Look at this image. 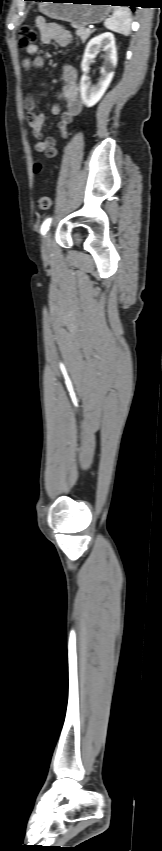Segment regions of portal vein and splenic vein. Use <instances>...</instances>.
<instances>
[{"label": "portal vein and splenic vein", "instance_id": "portal-vein-and-splenic-vein-1", "mask_svg": "<svg viewBox=\"0 0 162 851\" xmlns=\"http://www.w3.org/2000/svg\"><path fill=\"white\" fill-rule=\"evenodd\" d=\"M86 30H90V27H88Z\"/></svg>", "mask_w": 162, "mask_h": 851}]
</instances>
